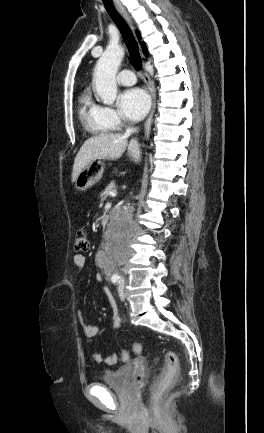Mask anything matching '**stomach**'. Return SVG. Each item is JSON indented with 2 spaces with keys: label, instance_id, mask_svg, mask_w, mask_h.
<instances>
[{
  "label": "stomach",
  "instance_id": "obj_1",
  "mask_svg": "<svg viewBox=\"0 0 264 433\" xmlns=\"http://www.w3.org/2000/svg\"><path fill=\"white\" fill-rule=\"evenodd\" d=\"M104 172V164L101 160H94L89 163L77 176L75 187L79 191H86L99 182Z\"/></svg>",
  "mask_w": 264,
  "mask_h": 433
}]
</instances>
